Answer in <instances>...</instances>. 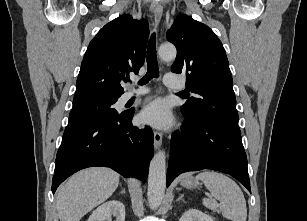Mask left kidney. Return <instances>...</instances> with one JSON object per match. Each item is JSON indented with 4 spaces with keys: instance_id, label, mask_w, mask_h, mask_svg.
Instances as JSON below:
<instances>
[{
    "instance_id": "5707ae66",
    "label": "left kidney",
    "mask_w": 307,
    "mask_h": 221,
    "mask_svg": "<svg viewBox=\"0 0 307 221\" xmlns=\"http://www.w3.org/2000/svg\"><path fill=\"white\" fill-rule=\"evenodd\" d=\"M179 221H214V220L209 215L199 210L189 209L181 216Z\"/></svg>"
}]
</instances>
